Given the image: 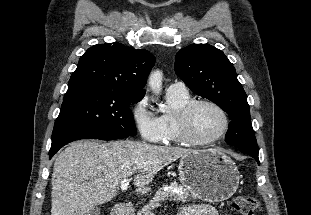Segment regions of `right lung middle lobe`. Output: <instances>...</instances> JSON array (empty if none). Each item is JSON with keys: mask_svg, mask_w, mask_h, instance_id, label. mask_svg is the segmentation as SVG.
<instances>
[{"mask_svg": "<svg viewBox=\"0 0 311 215\" xmlns=\"http://www.w3.org/2000/svg\"><path fill=\"white\" fill-rule=\"evenodd\" d=\"M143 96L89 85L69 87L55 121L52 141L77 134L135 136L130 106Z\"/></svg>", "mask_w": 311, "mask_h": 215, "instance_id": "obj_1", "label": "right lung middle lobe"}]
</instances>
